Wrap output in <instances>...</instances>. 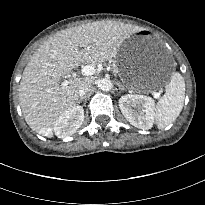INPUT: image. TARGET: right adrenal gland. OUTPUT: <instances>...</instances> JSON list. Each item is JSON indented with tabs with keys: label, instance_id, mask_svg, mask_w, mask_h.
<instances>
[{
	"label": "right adrenal gland",
	"instance_id": "right-adrenal-gland-1",
	"mask_svg": "<svg viewBox=\"0 0 205 205\" xmlns=\"http://www.w3.org/2000/svg\"><path fill=\"white\" fill-rule=\"evenodd\" d=\"M84 100V97H81L79 100H78V103H80L81 101Z\"/></svg>",
	"mask_w": 205,
	"mask_h": 205
}]
</instances>
